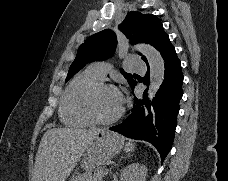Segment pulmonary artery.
<instances>
[{
	"label": "pulmonary artery",
	"instance_id": "pulmonary-artery-1",
	"mask_svg": "<svg viewBox=\"0 0 228 181\" xmlns=\"http://www.w3.org/2000/svg\"><path fill=\"white\" fill-rule=\"evenodd\" d=\"M126 67H131V71H146V66H135V62L139 61L138 57H126ZM101 70L112 71L113 67L110 62H94L89 65V70H86V75H94L96 78L103 80L106 74Z\"/></svg>",
	"mask_w": 228,
	"mask_h": 181
}]
</instances>
